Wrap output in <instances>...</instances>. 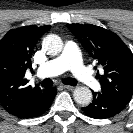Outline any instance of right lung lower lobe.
I'll use <instances>...</instances> for the list:
<instances>
[{
	"instance_id": "1",
	"label": "right lung lower lobe",
	"mask_w": 133,
	"mask_h": 133,
	"mask_svg": "<svg viewBox=\"0 0 133 133\" xmlns=\"http://www.w3.org/2000/svg\"><path fill=\"white\" fill-rule=\"evenodd\" d=\"M56 91L57 90L55 88L47 89L45 94L43 95V97H41L37 101L36 107L34 108L33 111H31V112H29L25 115H20V116H17V117H19V118H33V117H37V116L42 115L51 106L53 98L56 95Z\"/></svg>"
}]
</instances>
